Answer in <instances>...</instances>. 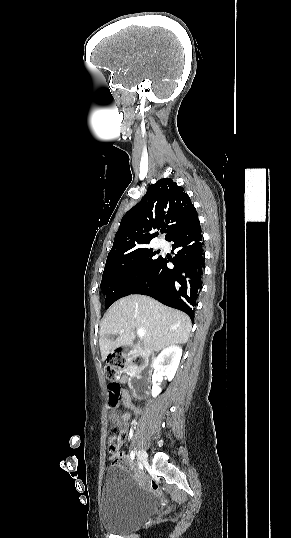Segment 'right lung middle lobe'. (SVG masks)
I'll list each match as a JSON object with an SVG mask.
<instances>
[{
    "label": "right lung middle lobe",
    "instance_id": "1",
    "mask_svg": "<svg viewBox=\"0 0 291 538\" xmlns=\"http://www.w3.org/2000/svg\"><path fill=\"white\" fill-rule=\"evenodd\" d=\"M154 256L155 252L146 247L106 260L101 281L106 309L116 300L132 294L145 281L161 258Z\"/></svg>",
    "mask_w": 291,
    "mask_h": 538
}]
</instances>
